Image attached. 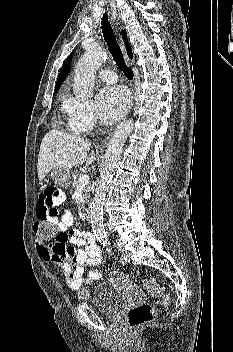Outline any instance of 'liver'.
Instances as JSON below:
<instances>
[{"mask_svg": "<svg viewBox=\"0 0 233 352\" xmlns=\"http://www.w3.org/2000/svg\"><path fill=\"white\" fill-rule=\"evenodd\" d=\"M91 143L77 135L51 130L42 139L38 155L37 173L42 181L54 168L72 169L86 162V166L95 161V153L88 156Z\"/></svg>", "mask_w": 233, "mask_h": 352, "instance_id": "6515ba94", "label": "liver"}]
</instances>
